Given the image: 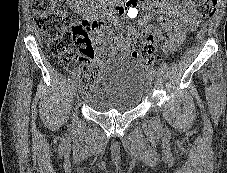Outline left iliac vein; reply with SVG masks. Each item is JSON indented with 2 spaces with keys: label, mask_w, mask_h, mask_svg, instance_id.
Instances as JSON below:
<instances>
[{
  "label": "left iliac vein",
  "mask_w": 227,
  "mask_h": 173,
  "mask_svg": "<svg viewBox=\"0 0 227 173\" xmlns=\"http://www.w3.org/2000/svg\"><path fill=\"white\" fill-rule=\"evenodd\" d=\"M147 83L149 86H152L153 84V76L151 74H147Z\"/></svg>",
  "instance_id": "obj_1"
}]
</instances>
